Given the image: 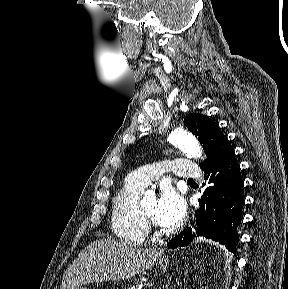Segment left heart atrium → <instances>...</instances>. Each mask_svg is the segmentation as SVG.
Segmentation results:
<instances>
[{
	"mask_svg": "<svg viewBox=\"0 0 288 289\" xmlns=\"http://www.w3.org/2000/svg\"><path fill=\"white\" fill-rule=\"evenodd\" d=\"M183 198L171 187H163L157 200L155 221L163 227L178 226L185 215Z\"/></svg>",
	"mask_w": 288,
	"mask_h": 289,
	"instance_id": "left-heart-atrium-1",
	"label": "left heart atrium"
}]
</instances>
